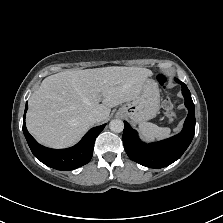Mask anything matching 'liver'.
Here are the masks:
<instances>
[{"label": "liver", "mask_w": 223, "mask_h": 223, "mask_svg": "<svg viewBox=\"0 0 223 223\" xmlns=\"http://www.w3.org/2000/svg\"><path fill=\"white\" fill-rule=\"evenodd\" d=\"M152 74L146 68L113 66L48 76L29 99L27 129L45 146L69 147L94 125L91 111L107 119L112 107L134 100Z\"/></svg>", "instance_id": "obj_1"}]
</instances>
